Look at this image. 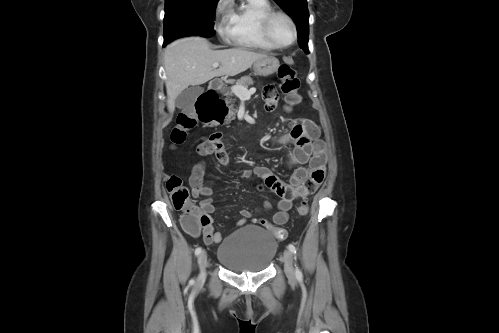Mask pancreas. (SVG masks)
<instances>
[{"label": "pancreas", "instance_id": "1", "mask_svg": "<svg viewBox=\"0 0 499 333\" xmlns=\"http://www.w3.org/2000/svg\"><path fill=\"white\" fill-rule=\"evenodd\" d=\"M253 83H254L253 79L250 76L241 77L240 79H238L236 81V85H241V86H244L246 88L253 85ZM223 93L227 97L225 99V102L227 105H229L228 108L230 111V117L233 118L235 116V112H236V109L234 108L235 100L232 98L234 93L232 92V90H230L228 88L224 89Z\"/></svg>", "mask_w": 499, "mask_h": 333}]
</instances>
